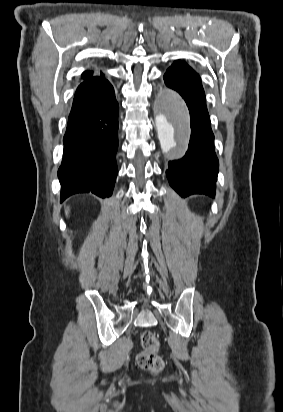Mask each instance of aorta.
<instances>
[{
  "label": "aorta",
  "mask_w": 283,
  "mask_h": 412,
  "mask_svg": "<svg viewBox=\"0 0 283 412\" xmlns=\"http://www.w3.org/2000/svg\"><path fill=\"white\" fill-rule=\"evenodd\" d=\"M169 114L156 116V128L163 152L180 146L189 133V115L184 100L175 92L167 91L164 96Z\"/></svg>",
  "instance_id": "1"
}]
</instances>
